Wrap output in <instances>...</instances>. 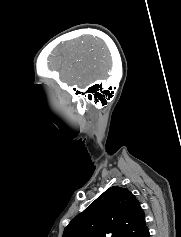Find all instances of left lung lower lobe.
<instances>
[{"label": "left lung lower lobe", "mask_w": 181, "mask_h": 237, "mask_svg": "<svg viewBox=\"0 0 181 237\" xmlns=\"http://www.w3.org/2000/svg\"><path fill=\"white\" fill-rule=\"evenodd\" d=\"M139 237H150L148 228L142 234H140Z\"/></svg>", "instance_id": "obj_1"}]
</instances>
